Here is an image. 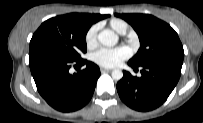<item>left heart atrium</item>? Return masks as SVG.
I'll list each match as a JSON object with an SVG mask.
<instances>
[{
  "label": "left heart atrium",
  "instance_id": "obj_1",
  "mask_svg": "<svg viewBox=\"0 0 203 123\" xmlns=\"http://www.w3.org/2000/svg\"><path fill=\"white\" fill-rule=\"evenodd\" d=\"M131 55V51L126 46L116 48H100L92 56L93 61L106 68L118 66L122 61Z\"/></svg>",
  "mask_w": 203,
  "mask_h": 123
}]
</instances>
